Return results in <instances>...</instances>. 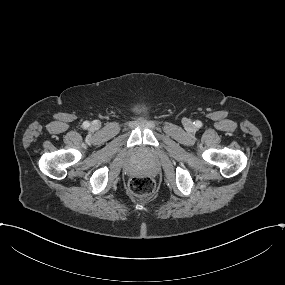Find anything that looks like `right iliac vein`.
I'll return each instance as SVG.
<instances>
[{
    "mask_svg": "<svg viewBox=\"0 0 285 285\" xmlns=\"http://www.w3.org/2000/svg\"><path fill=\"white\" fill-rule=\"evenodd\" d=\"M94 127H97L98 126V123H93L92 124Z\"/></svg>",
    "mask_w": 285,
    "mask_h": 285,
    "instance_id": "63e3f726",
    "label": "right iliac vein"
}]
</instances>
